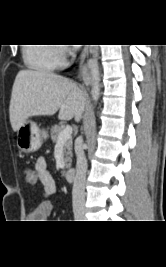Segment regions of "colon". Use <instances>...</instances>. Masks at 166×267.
<instances>
[{
  "label": "colon",
  "mask_w": 166,
  "mask_h": 267,
  "mask_svg": "<svg viewBox=\"0 0 166 267\" xmlns=\"http://www.w3.org/2000/svg\"><path fill=\"white\" fill-rule=\"evenodd\" d=\"M22 173L25 174V182H29V185H40L38 179V173L34 169H23Z\"/></svg>",
  "instance_id": "obj_1"
}]
</instances>
